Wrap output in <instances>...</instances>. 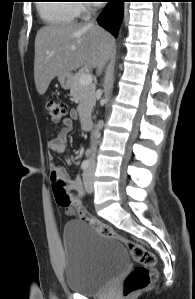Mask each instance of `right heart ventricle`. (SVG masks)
Listing matches in <instances>:
<instances>
[{"instance_id": "1", "label": "right heart ventricle", "mask_w": 195, "mask_h": 299, "mask_svg": "<svg viewBox=\"0 0 195 299\" xmlns=\"http://www.w3.org/2000/svg\"><path fill=\"white\" fill-rule=\"evenodd\" d=\"M39 6V14L48 25H66L75 20L78 7L69 0L48 1Z\"/></svg>"}]
</instances>
